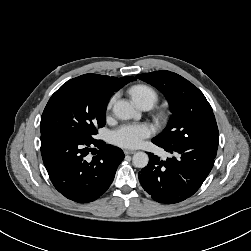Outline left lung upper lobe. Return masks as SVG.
<instances>
[{
    "instance_id": "left-lung-upper-lobe-1",
    "label": "left lung upper lobe",
    "mask_w": 251,
    "mask_h": 251,
    "mask_svg": "<svg viewBox=\"0 0 251 251\" xmlns=\"http://www.w3.org/2000/svg\"><path fill=\"white\" fill-rule=\"evenodd\" d=\"M136 77L161 91L172 112L166 128L153 140L171 146L197 138L219 139L217 123L209 102L188 80L170 71H155Z\"/></svg>"
}]
</instances>
